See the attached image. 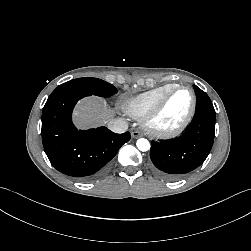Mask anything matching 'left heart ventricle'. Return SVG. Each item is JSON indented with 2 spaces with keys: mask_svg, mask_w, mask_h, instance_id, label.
<instances>
[{
  "mask_svg": "<svg viewBox=\"0 0 251 251\" xmlns=\"http://www.w3.org/2000/svg\"><path fill=\"white\" fill-rule=\"evenodd\" d=\"M191 102L189 91L178 90L174 92L157 118L156 126L161 129H172L178 126L186 117Z\"/></svg>",
  "mask_w": 251,
  "mask_h": 251,
  "instance_id": "b2bd125f",
  "label": "left heart ventricle"
}]
</instances>
